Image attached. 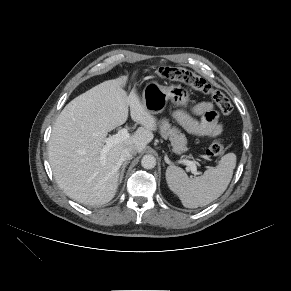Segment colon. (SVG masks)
I'll return each instance as SVG.
<instances>
[{"label":"colon","mask_w":291,"mask_h":291,"mask_svg":"<svg viewBox=\"0 0 291 291\" xmlns=\"http://www.w3.org/2000/svg\"><path fill=\"white\" fill-rule=\"evenodd\" d=\"M156 75L164 80L184 83L210 96L224 116L230 115L233 110L230 100L223 92L215 89L205 78L187 69L164 66L156 71ZM224 149V144L221 140H214L208 146L207 154L212 157L219 156L224 152Z\"/></svg>","instance_id":"5ec220e1"}]
</instances>
